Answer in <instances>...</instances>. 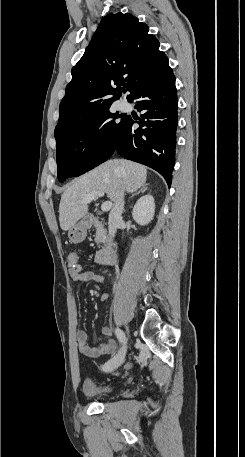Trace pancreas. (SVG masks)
Listing matches in <instances>:
<instances>
[{"instance_id": "obj_1", "label": "pancreas", "mask_w": 245, "mask_h": 457, "mask_svg": "<svg viewBox=\"0 0 245 457\" xmlns=\"http://www.w3.org/2000/svg\"><path fill=\"white\" fill-rule=\"evenodd\" d=\"M94 226L96 229L94 241L95 243H97V247H99L100 243H105L106 241V231L104 229L102 222H94Z\"/></svg>"}]
</instances>
